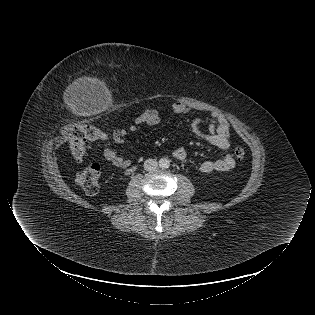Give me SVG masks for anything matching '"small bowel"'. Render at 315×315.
Here are the masks:
<instances>
[{"mask_svg":"<svg viewBox=\"0 0 315 315\" xmlns=\"http://www.w3.org/2000/svg\"><path fill=\"white\" fill-rule=\"evenodd\" d=\"M170 111L174 114H186L189 108L181 103L175 102L170 106ZM162 122V115L155 109H145L139 114L132 125L127 128H115L112 131V138L118 144H123L127 137L138 132L144 126H156ZM204 119L196 117L192 120L190 128L192 133L214 145L224 153V156L217 160H206L200 164V170L204 173L213 171L225 172L234 168L235 160L230 154L231 140H230V124L228 119L221 113L211 112L208 118L209 128L208 132L201 129ZM103 156L106 160L111 162L114 166L119 168H127L131 164V160L122 156L117 150L111 147L103 149ZM173 156L177 160L183 161L187 157V152L183 147H178L173 151Z\"/></svg>","mask_w":315,"mask_h":315,"instance_id":"c3829d8e","label":"small bowel"}]
</instances>
